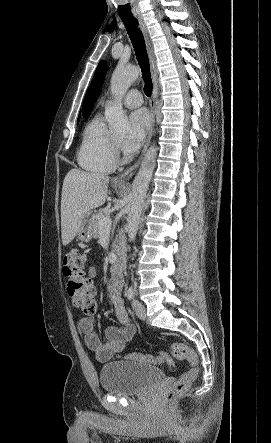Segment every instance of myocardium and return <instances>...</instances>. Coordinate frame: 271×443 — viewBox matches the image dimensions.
Instances as JSON below:
<instances>
[{
	"label": "myocardium",
	"instance_id": "f54148a6",
	"mask_svg": "<svg viewBox=\"0 0 271 443\" xmlns=\"http://www.w3.org/2000/svg\"><path fill=\"white\" fill-rule=\"evenodd\" d=\"M114 143H115V146L118 148L119 147V142L116 139H114Z\"/></svg>",
	"mask_w": 271,
	"mask_h": 443
}]
</instances>
